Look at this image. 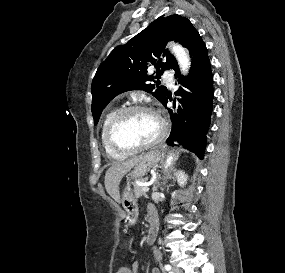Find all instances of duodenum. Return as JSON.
I'll return each mask as SVG.
<instances>
[{"mask_svg":"<svg viewBox=\"0 0 285 273\" xmlns=\"http://www.w3.org/2000/svg\"><path fill=\"white\" fill-rule=\"evenodd\" d=\"M148 221H149V229L147 232L146 241L148 244H151L152 242H154L157 236L158 227H159L158 217L155 210L149 211Z\"/></svg>","mask_w":285,"mask_h":273,"instance_id":"410a0bca","label":"duodenum"}]
</instances>
